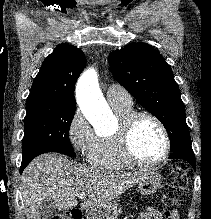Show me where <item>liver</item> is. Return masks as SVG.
<instances>
[{"label":"liver","mask_w":211,"mask_h":219,"mask_svg":"<svg viewBox=\"0 0 211 219\" xmlns=\"http://www.w3.org/2000/svg\"><path fill=\"white\" fill-rule=\"evenodd\" d=\"M149 174L109 171L78 166L57 153L36 157L24 170L21 193L27 219H40L39 207L53 200L59 210H71L78 205L77 194L85 193L82 210H93L110 203L114 198L135 186Z\"/></svg>","instance_id":"1"}]
</instances>
